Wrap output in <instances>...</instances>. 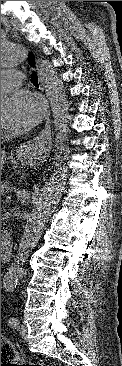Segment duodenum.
<instances>
[{
    "label": "duodenum",
    "mask_w": 122,
    "mask_h": 366,
    "mask_svg": "<svg viewBox=\"0 0 122 366\" xmlns=\"http://www.w3.org/2000/svg\"><path fill=\"white\" fill-rule=\"evenodd\" d=\"M12 248V236L8 233L1 234V253L9 252Z\"/></svg>",
    "instance_id": "410a0bca"
}]
</instances>
